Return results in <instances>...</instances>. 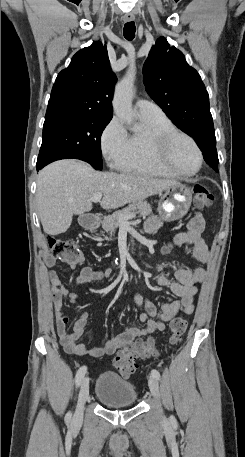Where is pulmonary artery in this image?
Wrapping results in <instances>:
<instances>
[{
  "mask_svg": "<svg viewBox=\"0 0 245 457\" xmlns=\"http://www.w3.org/2000/svg\"><path fill=\"white\" fill-rule=\"evenodd\" d=\"M134 107L141 117H156L163 115L162 109L155 103L143 99L136 100Z\"/></svg>",
  "mask_w": 245,
  "mask_h": 457,
  "instance_id": "obj_1",
  "label": "pulmonary artery"
}]
</instances>
